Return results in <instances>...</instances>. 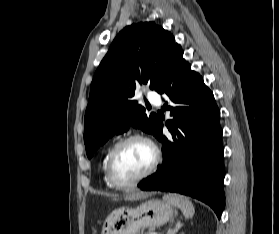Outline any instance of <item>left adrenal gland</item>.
Returning <instances> with one entry per match:
<instances>
[{
  "mask_svg": "<svg viewBox=\"0 0 279 234\" xmlns=\"http://www.w3.org/2000/svg\"><path fill=\"white\" fill-rule=\"evenodd\" d=\"M182 226L183 224L180 221H177L174 227L172 226L169 227L167 234H176L181 229Z\"/></svg>",
  "mask_w": 279,
  "mask_h": 234,
  "instance_id": "1",
  "label": "left adrenal gland"
}]
</instances>
